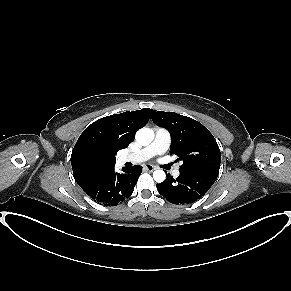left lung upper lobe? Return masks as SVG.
<instances>
[{
	"instance_id": "obj_1",
	"label": "left lung upper lobe",
	"mask_w": 291,
	"mask_h": 291,
	"mask_svg": "<svg viewBox=\"0 0 291 291\" xmlns=\"http://www.w3.org/2000/svg\"><path fill=\"white\" fill-rule=\"evenodd\" d=\"M152 121L171 134L170 154L183 162L180 171H206L218 174L220 150L209 130L200 122L174 112L153 110Z\"/></svg>"
}]
</instances>
